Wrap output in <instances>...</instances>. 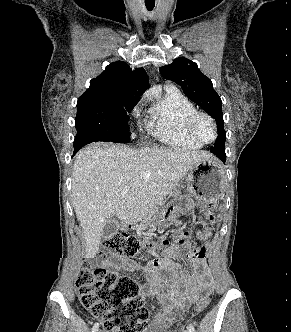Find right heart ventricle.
<instances>
[{"mask_svg": "<svg viewBox=\"0 0 291 332\" xmlns=\"http://www.w3.org/2000/svg\"><path fill=\"white\" fill-rule=\"evenodd\" d=\"M195 111L190 99L177 89L167 88L149 110L153 135L175 148L200 149L203 145L195 141L186 128L188 117Z\"/></svg>", "mask_w": 291, "mask_h": 332, "instance_id": "right-heart-ventricle-1", "label": "right heart ventricle"}]
</instances>
